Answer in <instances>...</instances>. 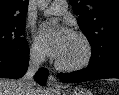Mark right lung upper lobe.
<instances>
[{
    "instance_id": "cb5924a9",
    "label": "right lung upper lobe",
    "mask_w": 119,
    "mask_h": 95,
    "mask_svg": "<svg viewBox=\"0 0 119 95\" xmlns=\"http://www.w3.org/2000/svg\"><path fill=\"white\" fill-rule=\"evenodd\" d=\"M29 0H0V25L25 21Z\"/></svg>"
}]
</instances>
